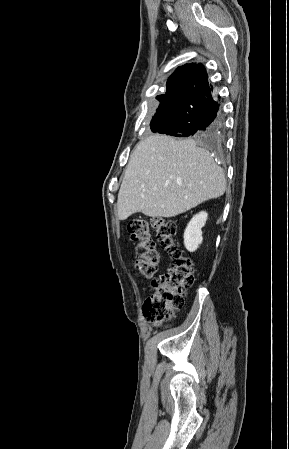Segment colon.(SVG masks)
I'll return each instance as SVG.
<instances>
[{"label": "colon", "instance_id": "5ec220e1", "mask_svg": "<svg viewBox=\"0 0 289 449\" xmlns=\"http://www.w3.org/2000/svg\"><path fill=\"white\" fill-rule=\"evenodd\" d=\"M176 228L173 220L161 217L134 219L128 224L130 238L140 250L134 268L142 278L153 279L157 271L159 256L150 237L151 231L172 259L162 278L153 281L154 291L143 305L144 316L155 325L170 320L183 306L185 292L194 282L193 262L179 248L175 240Z\"/></svg>", "mask_w": 289, "mask_h": 449}]
</instances>
